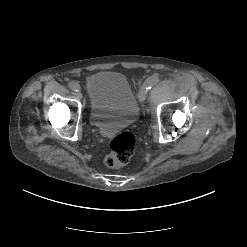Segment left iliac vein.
<instances>
[{"mask_svg":"<svg viewBox=\"0 0 247 247\" xmlns=\"http://www.w3.org/2000/svg\"><path fill=\"white\" fill-rule=\"evenodd\" d=\"M148 96V89L145 86H142L139 91V98L143 102Z\"/></svg>","mask_w":247,"mask_h":247,"instance_id":"obj_1","label":"left iliac vein"}]
</instances>
